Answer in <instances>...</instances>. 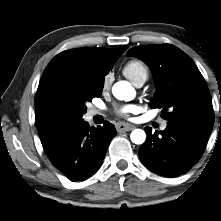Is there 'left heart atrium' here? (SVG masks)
Listing matches in <instances>:
<instances>
[{"label":"left heart atrium","mask_w":221,"mask_h":221,"mask_svg":"<svg viewBox=\"0 0 221 221\" xmlns=\"http://www.w3.org/2000/svg\"><path fill=\"white\" fill-rule=\"evenodd\" d=\"M135 110H136V107L129 105V106H124L122 108L117 109V113L121 116H126L128 113H131Z\"/></svg>","instance_id":"left-heart-atrium-1"}]
</instances>
